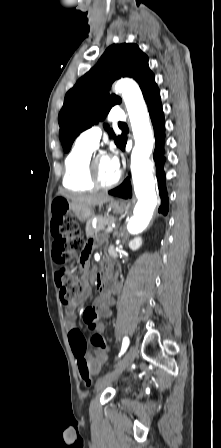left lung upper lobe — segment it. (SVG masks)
I'll return each instance as SVG.
<instances>
[{"label":"left lung upper lobe","mask_w":221,"mask_h":448,"mask_svg":"<svg viewBox=\"0 0 221 448\" xmlns=\"http://www.w3.org/2000/svg\"><path fill=\"white\" fill-rule=\"evenodd\" d=\"M121 77L135 79L143 96L156 87L155 76L148 66V57L136 44L109 46L98 63L82 76L65 96L59 113L60 140L68 152L75 138L84 130L102 121L112 106L121 102L116 95H109L112 83ZM105 129L120 147L124 136L116 137L108 125Z\"/></svg>","instance_id":"5c2ea615"}]
</instances>
